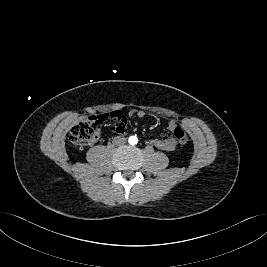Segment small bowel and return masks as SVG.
I'll return each instance as SVG.
<instances>
[{"label":"small bowel","mask_w":267,"mask_h":267,"mask_svg":"<svg viewBox=\"0 0 267 267\" xmlns=\"http://www.w3.org/2000/svg\"><path fill=\"white\" fill-rule=\"evenodd\" d=\"M109 118L115 121V124L112 126V130L119 134H124L126 132V115L121 111L115 110L106 114ZM128 116L136 115L138 118H143L145 112L143 110L130 111L127 114ZM177 125L174 122L168 123V129L172 131ZM152 144L164 151H173L177 146V140L174 137L167 138H155L152 140Z\"/></svg>","instance_id":"c3829d8e"}]
</instances>
